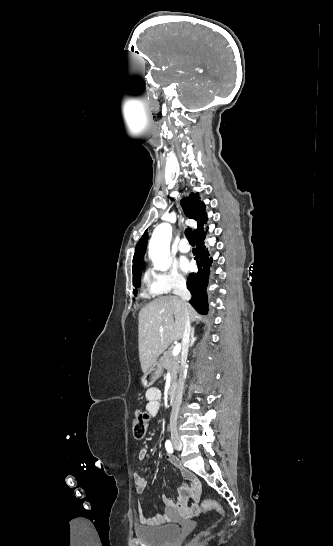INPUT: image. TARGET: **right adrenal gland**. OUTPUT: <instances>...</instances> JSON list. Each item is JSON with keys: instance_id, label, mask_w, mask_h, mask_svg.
Segmentation results:
<instances>
[{"instance_id": "1", "label": "right adrenal gland", "mask_w": 333, "mask_h": 546, "mask_svg": "<svg viewBox=\"0 0 333 546\" xmlns=\"http://www.w3.org/2000/svg\"><path fill=\"white\" fill-rule=\"evenodd\" d=\"M195 328H192L191 330V337H190V343L189 346L192 347L197 339V337L194 336Z\"/></svg>"}]
</instances>
